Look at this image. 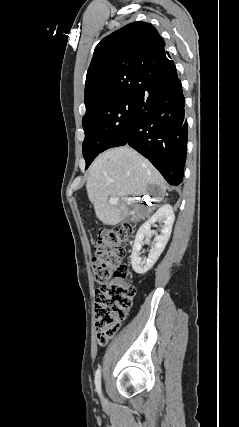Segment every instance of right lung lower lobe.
I'll use <instances>...</instances> for the list:
<instances>
[{
  "label": "right lung lower lobe",
  "instance_id": "98d812e1",
  "mask_svg": "<svg viewBox=\"0 0 239 427\" xmlns=\"http://www.w3.org/2000/svg\"><path fill=\"white\" fill-rule=\"evenodd\" d=\"M185 98L178 77L155 84L136 100L127 140L170 185H179L187 152ZM119 145V146H122Z\"/></svg>",
  "mask_w": 239,
  "mask_h": 427
}]
</instances>
